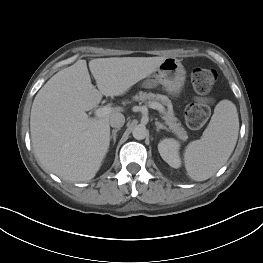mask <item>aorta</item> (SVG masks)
<instances>
[{
    "label": "aorta",
    "mask_w": 263,
    "mask_h": 263,
    "mask_svg": "<svg viewBox=\"0 0 263 263\" xmlns=\"http://www.w3.org/2000/svg\"><path fill=\"white\" fill-rule=\"evenodd\" d=\"M132 135L136 140H143L147 136V129L145 126L137 125L133 129Z\"/></svg>",
    "instance_id": "1"
}]
</instances>
